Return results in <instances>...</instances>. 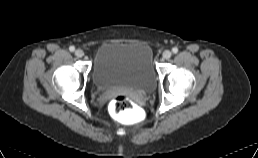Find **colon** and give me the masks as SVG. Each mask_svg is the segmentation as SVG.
I'll return each mask as SVG.
<instances>
[{"label":"colon","instance_id":"5ec220e1","mask_svg":"<svg viewBox=\"0 0 258 158\" xmlns=\"http://www.w3.org/2000/svg\"><path fill=\"white\" fill-rule=\"evenodd\" d=\"M108 108L113 116L124 117L132 110L133 105L127 96L120 94L112 98Z\"/></svg>","mask_w":258,"mask_h":158}]
</instances>
